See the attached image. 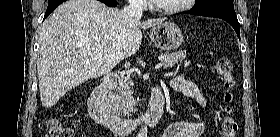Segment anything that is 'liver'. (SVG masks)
<instances>
[{"label": "liver", "mask_w": 280, "mask_h": 137, "mask_svg": "<svg viewBox=\"0 0 280 137\" xmlns=\"http://www.w3.org/2000/svg\"><path fill=\"white\" fill-rule=\"evenodd\" d=\"M164 20L141 22L97 0L61 4L40 31L37 72L42 105L51 108L69 90L108 74L139 50L141 28L154 27Z\"/></svg>", "instance_id": "obj_1"}]
</instances>
